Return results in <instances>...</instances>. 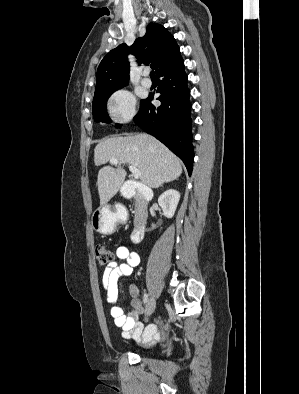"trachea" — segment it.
<instances>
[{
	"label": "trachea",
	"mask_w": 299,
	"mask_h": 394,
	"mask_svg": "<svg viewBox=\"0 0 299 394\" xmlns=\"http://www.w3.org/2000/svg\"><path fill=\"white\" fill-rule=\"evenodd\" d=\"M150 77H151V79H156L154 71L150 72Z\"/></svg>",
	"instance_id": "trachea-1"
}]
</instances>
